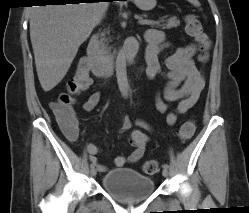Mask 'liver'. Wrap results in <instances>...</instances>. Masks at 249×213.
<instances>
[{"instance_id":"6515ba94","label":"liver","mask_w":249,"mask_h":213,"mask_svg":"<svg viewBox=\"0 0 249 213\" xmlns=\"http://www.w3.org/2000/svg\"><path fill=\"white\" fill-rule=\"evenodd\" d=\"M107 7V2H93L30 9V39L38 79L45 92L65 77L80 45Z\"/></svg>"}]
</instances>
